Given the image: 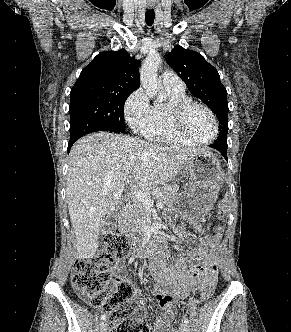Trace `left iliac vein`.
Here are the masks:
<instances>
[{
    "label": "left iliac vein",
    "mask_w": 291,
    "mask_h": 332,
    "mask_svg": "<svg viewBox=\"0 0 291 332\" xmlns=\"http://www.w3.org/2000/svg\"><path fill=\"white\" fill-rule=\"evenodd\" d=\"M179 332H190V328H189L188 324L182 323L179 328Z\"/></svg>",
    "instance_id": "4c4485c4"
}]
</instances>
